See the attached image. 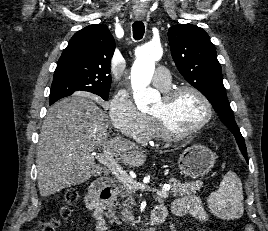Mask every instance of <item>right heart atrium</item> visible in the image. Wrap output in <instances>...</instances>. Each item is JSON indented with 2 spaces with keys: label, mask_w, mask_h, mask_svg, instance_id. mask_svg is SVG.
Segmentation results:
<instances>
[{
  "label": "right heart atrium",
  "mask_w": 268,
  "mask_h": 231,
  "mask_svg": "<svg viewBox=\"0 0 268 231\" xmlns=\"http://www.w3.org/2000/svg\"><path fill=\"white\" fill-rule=\"evenodd\" d=\"M108 113L117 132L140 144L150 141V119L137 108L128 91L120 90L111 98Z\"/></svg>",
  "instance_id": "d8ad5b80"
}]
</instances>
